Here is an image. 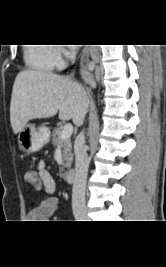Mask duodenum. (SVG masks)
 I'll return each instance as SVG.
<instances>
[{
  "label": "duodenum",
  "instance_id": "duodenum-1",
  "mask_svg": "<svg viewBox=\"0 0 166 267\" xmlns=\"http://www.w3.org/2000/svg\"><path fill=\"white\" fill-rule=\"evenodd\" d=\"M75 176H76L75 169H68L64 174V177L68 182H73L75 180Z\"/></svg>",
  "mask_w": 166,
  "mask_h": 267
}]
</instances>
